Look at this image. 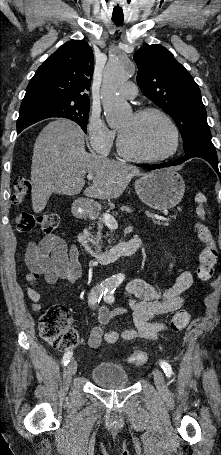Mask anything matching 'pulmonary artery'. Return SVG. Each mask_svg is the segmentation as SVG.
<instances>
[{"mask_svg":"<svg viewBox=\"0 0 221 455\" xmlns=\"http://www.w3.org/2000/svg\"><path fill=\"white\" fill-rule=\"evenodd\" d=\"M119 92L122 97L127 99H133L134 97H136L138 89L133 82L128 81L121 85Z\"/></svg>","mask_w":221,"mask_h":455,"instance_id":"e3ab8cb5","label":"pulmonary artery"}]
</instances>
